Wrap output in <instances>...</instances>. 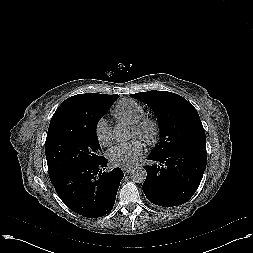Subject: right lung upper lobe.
I'll return each instance as SVG.
<instances>
[{"mask_svg": "<svg viewBox=\"0 0 253 253\" xmlns=\"http://www.w3.org/2000/svg\"><path fill=\"white\" fill-rule=\"evenodd\" d=\"M118 95L97 93L78 94L66 99L55 111L48 132L63 123H82L101 108H109Z\"/></svg>", "mask_w": 253, "mask_h": 253, "instance_id": "right-lung-upper-lobe-1", "label": "right lung upper lobe"}]
</instances>
